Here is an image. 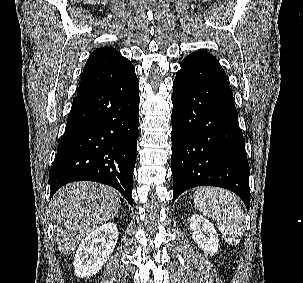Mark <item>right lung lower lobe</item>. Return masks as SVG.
Instances as JSON below:
<instances>
[{
  "mask_svg": "<svg viewBox=\"0 0 303 283\" xmlns=\"http://www.w3.org/2000/svg\"><path fill=\"white\" fill-rule=\"evenodd\" d=\"M139 101L135 73L76 96L49 172L51 196L67 183L95 181L116 188L133 205Z\"/></svg>",
  "mask_w": 303,
  "mask_h": 283,
  "instance_id": "98d812e1",
  "label": "right lung lower lobe"
}]
</instances>
